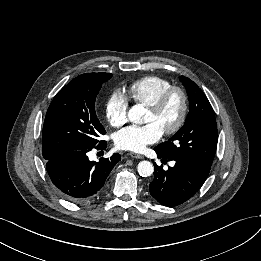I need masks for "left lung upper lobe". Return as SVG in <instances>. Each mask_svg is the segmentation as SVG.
I'll return each instance as SVG.
<instances>
[{"label": "left lung upper lobe", "instance_id": "left-lung-upper-lobe-1", "mask_svg": "<svg viewBox=\"0 0 261 261\" xmlns=\"http://www.w3.org/2000/svg\"><path fill=\"white\" fill-rule=\"evenodd\" d=\"M180 80L187 89L189 113L183 127L155 151L168 159H179L209 173L217 147V125L213 108L202 90L187 77Z\"/></svg>", "mask_w": 261, "mask_h": 261}]
</instances>
